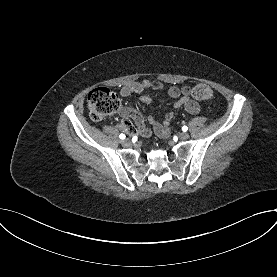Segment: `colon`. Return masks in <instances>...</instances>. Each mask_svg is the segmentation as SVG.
I'll use <instances>...</instances> for the list:
<instances>
[{
  "mask_svg": "<svg viewBox=\"0 0 277 277\" xmlns=\"http://www.w3.org/2000/svg\"><path fill=\"white\" fill-rule=\"evenodd\" d=\"M193 96L199 100H209L213 92L205 84H199L192 91ZM120 96L109 88H95L87 96V107L90 116L95 121L103 120L114 114L120 107Z\"/></svg>",
  "mask_w": 277,
  "mask_h": 277,
  "instance_id": "1",
  "label": "colon"
}]
</instances>
